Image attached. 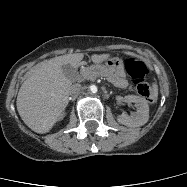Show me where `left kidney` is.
Wrapping results in <instances>:
<instances>
[{"label": "left kidney", "instance_id": "obj_1", "mask_svg": "<svg viewBox=\"0 0 187 187\" xmlns=\"http://www.w3.org/2000/svg\"><path fill=\"white\" fill-rule=\"evenodd\" d=\"M126 99L130 102L135 103L137 110L131 116L121 114L117 118L118 122L130 127H138L144 125L149 119V106L147 104V101L135 95H129L126 97Z\"/></svg>", "mask_w": 187, "mask_h": 187}]
</instances>
